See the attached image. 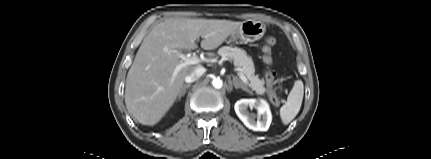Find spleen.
Returning <instances> with one entry per match:
<instances>
[{
	"instance_id": "spleen-1",
	"label": "spleen",
	"mask_w": 431,
	"mask_h": 159,
	"mask_svg": "<svg viewBox=\"0 0 431 159\" xmlns=\"http://www.w3.org/2000/svg\"><path fill=\"white\" fill-rule=\"evenodd\" d=\"M304 95V85L301 80L294 83L286 103L280 108V117L283 124H289L298 114Z\"/></svg>"
}]
</instances>
